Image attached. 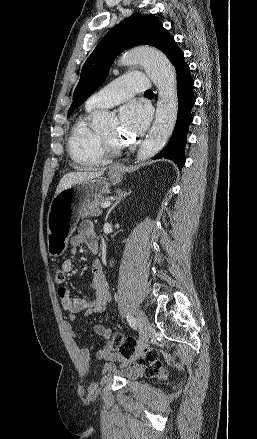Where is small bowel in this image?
Instances as JSON below:
<instances>
[{"label":"small bowel","mask_w":257,"mask_h":439,"mask_svg":"<svg viewBox=\"0 0 257 439\" xmlns=\"http://www.w3.org/2000/svg\"><path fill=\"white\" fill-rule=\"evenodd\" d=\"M72 252L82 244H86L88 249L96 254L99 246L95 234L94 225L91 221H83L76 234L70 239ZM61 270L65 273H70L73 270V261L66 259L61 266ZM92 280L91 288L95 291V296L92 301H88L81 297H71L70 292L66 287L58 288V296L61 300L62 308L68 313L70 321L76 319V314L82 313L88 316L91 313H100L106 310L110 300L109 286L103 271L102 264L99 260H94L91 265ZM94 331L97 335L106 340V345L103 349L97 351L96 358L106 362L104 370L111 374H116L127 379H136L142 374L141 366L135 361H129L121 357L111 347L112 330L102 324L95 325ZM69 335L75 338V332L70 328ZM80 365L84 372H87L90 367V353L85 347L79 349ZM120 361L124 364V368L118 369L115 362Z\"/></svg>","instance_id":"obj_1"}]
</instances>
